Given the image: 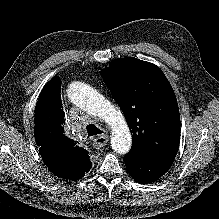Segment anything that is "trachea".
<instances>
[{
	"label": "trachea",
	"mask_w": 219,
	"mask_h": 219,
	"mask_svg": "<svg viewBox=\"0 0 219 219\" xmlns=\"http://www.w3.org/2000/svg\"><path fill=\"white\" fill-rule=\"evenodd\" d=\"M86 130H87L88 136H93V135H98V134L103 133V131L100 128H98L95 124H92V123L87 125Z\"/></svg>",
	"instance_id": "3493384b"
}]
</instances>
